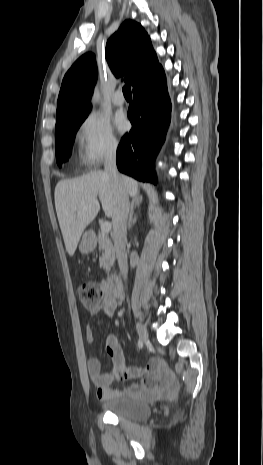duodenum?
Returning <instances> with one entry per match:
<instances>
[{
    "mask_svg": "<svg viewBox=\"0 0 263 465\" xmlns=\"http://www.w3.org/2000/svg\"><path fill=\"white\" fill-rule=\"evenodd\" d=\"M108 285L117 298H122L123 296V287L121 280L118 275H111L108 279Z\"/></svg>",
    "mask_w": 263,
    "mask_h": 465,
    "instance_id": "duodenum-1",
    "label": "duodenum"
}]
</instances>
